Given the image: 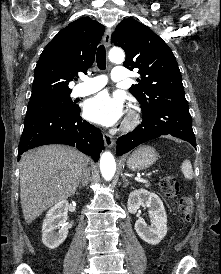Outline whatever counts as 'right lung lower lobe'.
<instances>
[{"instance_id": "98d812e1", "label": "right lung lower lobe", "mask_w": 221, "mask_h": 274, "mask_svg": "<svg viewBox=\"0 0 221 274\" xmlns=\"http://www.w3.org/2000/svg\"><path fill=\"white\" fill-rule=\"evenodd\" d=\"M75 146L95 161L104 149L100 129L82 120L77 110L56 109L25 117L24 129L19 143L18 160L25 151L46 144Z\"/></svg>"}]
</instances>
